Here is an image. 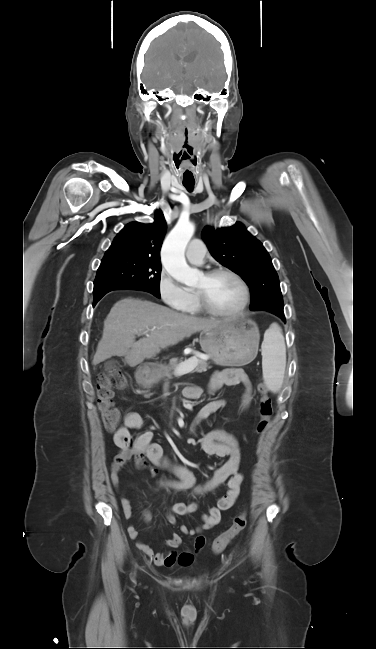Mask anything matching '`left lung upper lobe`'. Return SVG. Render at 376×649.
Listing matches in <instances>:
<instances>
[{"label": "left lung upper lobe", "instance_id": "5c2ea615", "mask_svg": "<svg viewBox=\"0 0 376 649\" xmlns=\"http://www.w3.org/2000/svg\"><path fill=\"white\" fill-rule=\"evenodd\" d=\"M202 238L211 255L248 284L251 310H266L284 318L278 275L263 245L240 222L231 227H205Z\"/></svg>", "mask_w": 376, "mask_h": 649}]
</instances>
